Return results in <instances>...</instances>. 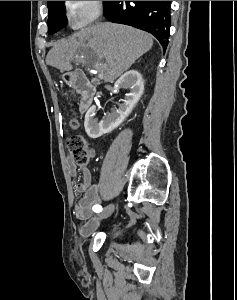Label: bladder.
I'll use <instances>...</instances> for the list:
<instances>
[{
	"instance_id": "31cf9c89",
	"label": "bladder",
	"mask_w": 237,
	"mask_h": 300,
	"mask_svg": "<svg viewBox=\"0 0 237 300\" xmlns=\"http://www.w3.org/2000/svg\"><path fill=\"white\" fill-rule=\"evenodd\" d=\"M123 235L122 230L118 224L112 225L106 233V236L110 239H119Z\"/></svg>"
}]
</instances>
